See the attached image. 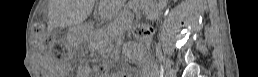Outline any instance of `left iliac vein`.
<instances>
[{"instance_id":"left-iliac-vein-1","label":"left iliac vein","mask_w":258,"mask_h":77,"mask_svg":"<svg viewBox=\"0 0 258 77\" xmlns=\"http://www.w3.org/2000/svg\"><path fill=\"white\" fill-rule=\"evenodd\" d=\"M167 77H175L176 76V70L174 68H168L166 71Z\"/></svg>"}]
</instances>
